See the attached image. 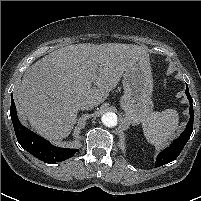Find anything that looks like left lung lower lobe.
<instances>
[{
  "label": "left lung lower lobe",
  "instance_id": "1",
  "mask_svg": "<svg viewBox=\"0 0 201 201\" xmlns=\"http://www.w3.org/2000/svg\"><path fill=\"white\" fill-rule=\"evenodd\" d=\"M186 96L190 102V108H189L190 119L186 126V129L169 147H167L165 150L159 153L156 159L155 167H160L162 165L174 161L179 156V154L181 153L182 149L184 148L185 144L187 143L192 134L194 111H193L192 97L189 93L187 84H186Z\"/></svg>",
  "mask_w": 201,
  "mask_h": 201
}]
</instances>
